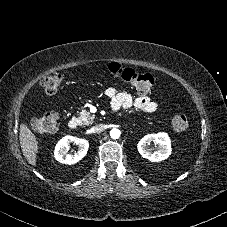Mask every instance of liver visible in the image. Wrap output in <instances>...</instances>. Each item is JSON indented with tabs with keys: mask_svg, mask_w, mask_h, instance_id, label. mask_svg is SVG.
Instances as JSON below:
<instances>
[{
	"mask_svg": "<svg viewBox=\"0 0 227 227\" xmlns=\"http://www.w3.org/2000/svg\"><path fill=\"white\" fill-rule=\"evenodd\" d=\"M19 140L24 157L29 164L35 166L37 162L38 142L35 135L24 123L20 125Z\"/></svg>",
	"mask_w": 227,
	"mask_h": 227,
	"instance_id": "liver-1",
	"label": "liver"
}]
</instances>
